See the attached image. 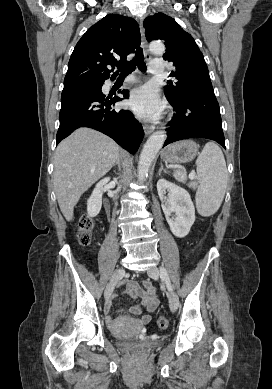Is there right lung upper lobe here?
<instances>
[{"label": "right lung upper lobe", "instance_id": "right-lung-upper-lobe-1", "mask_svg": "<svg viewBox=\"0 0 272 389\" xmlns=\"http://www.w3.org/2000/svg\"><path fill=\"white\" fill-rule=\"evenodd\" d=\"M140 39L139 26L134 19L108 14L78 41L69 60L64 87L104 82L114 65L126 62V56L134 52ZM108 66H112V70Z\"/></svg>", "mask_w": 272, "mask_h": 389}]
</instances>
